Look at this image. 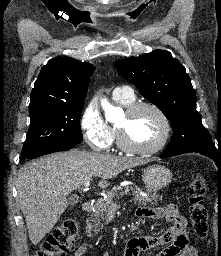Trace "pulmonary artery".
<instances>
[{"mask_svg": "<svg viewBox=\"0 0 221 256\" xmlns=\"http://www.w3.org/2000/svg\"><path fill=\"white\" fill-rule=\"evenodd\" d=\"M112 94H113V97H117V98H125V99L134 98L133 90L129 86L116 87L113 90Z\"/></svg>", "mask_w": 221, "mask_h": 256, "instance_id": "1", "label": "pulmonary artery"}]
</instances>
